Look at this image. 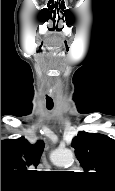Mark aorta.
Here are the masks:
<instances>
[{"label": "aorta", "mask_w": 115, "mask_h": 191, "mask_svg": "<svg viewBox=\"0 0 115 191\" xmlns=\"http://www.w3.org/2000/svg\"><path fill=\"white\" fill-rule=\"evenodd\" d=\"M51 159L57 166H66L74 162V155L70 150H57L53 152Z\"/></svg>", "instance_id": "1"}]
</instances>
